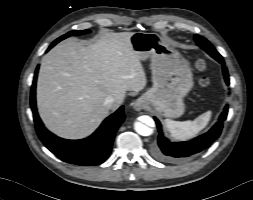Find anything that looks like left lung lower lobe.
<instances>
[{
    "label": "left lung lower lobe",
    "instance_id": "obj_1",
    "mask_svg": "<svg viewBox=\"0 0 253 200\" xmlns=\"http://www.w3.org/2000/svg\"><path fill=\"white\" fill-rule=\"evenodd\" d=\"M218 62L222 64L224 78L226 84L229 85V75L224 61ZM227 113L228 108L226 106L219 121L207 133L193 140L184 142H171L165 138L159 120L154 118L159 132L157 145L153 149L154 155L160 160L168 162H181L195 156L209 147L210 144L220 136Z\"/></svg>",
    "mask_w": 253,
    "mask_h": 200
}]
</instances>
